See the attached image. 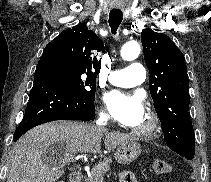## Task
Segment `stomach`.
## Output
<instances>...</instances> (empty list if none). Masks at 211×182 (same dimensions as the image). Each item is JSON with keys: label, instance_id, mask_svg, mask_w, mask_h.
<instances>
[{"label": "stomach", "instance_id": "0dacf381", "mask_svg": "<svg viewBox=\"0 0 211 182\" xmlns=\"http://www.w3.org/2000/svg\"><path fill=\"white\" fill-rule=\"evenodd\" d=\"M140 152V144L134 140H129L118 146L115 159L120 164H129L139 156Z\"/></svg>", "mask_w": 211, "mask_h": 182}]
</instances>
